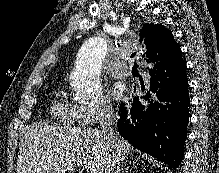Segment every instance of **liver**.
Instances as JSON below:
<instances>
[{
  "label": "liver",
  "mask_w": 219,
  "mask_h": 173,
  "mask_svg": "<svg viewBox=\"0 0 219 173\" xmlns=\"http://www.w3.org/2000/svg\"><path fill=\"white\" fill-rule=\"evenodd\" d=\"M132 150L120 135L110 145L93 128L35 126L20 141L16 173H74L76 163L105 173L110 160L123 163Z\"/></svg>",
  "instance_id": "obj_1"
}]
</instances>
